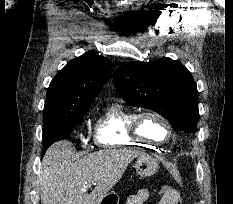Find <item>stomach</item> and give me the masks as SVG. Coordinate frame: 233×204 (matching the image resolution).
Returning <instances> with one entry per match:
<instances>
[{
    "instance_id": "0dacf381",
    "label": "stomach",
    "mask_w": 233,
    "mask_h": 204,
    "mask_svg": "<svg viewBox=\"0 0 233 204\" xmlns=\"http://www.w3.org/2000/svg\"><path fill=\"white\" fill-rule=\"evenodd\" d=\"M135 169L138 175L141 177H149L156 173L158 164L156 159L149 155L143 154L138 156L136 159ZM100 204H103V200L100 202Z\"/></svg>"
}]
</instances>
